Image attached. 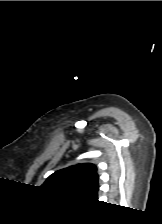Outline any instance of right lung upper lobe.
Masks as SVG:
<instances>
[{"instance_id":"1","label":"right lung upper lobe","mask_w":162,"mask_h":224,"mask_svg":"<svg viewBox=\"0 0 162 224\" xmlns=\"http://www.w3.org/2000/svg\"><path fill=\"white\" fill-rule=\"evenodd\" d=\"M98 178L95 165L78 164L54 172L42 187L85 200L96 201L99 188Z\"/></svg>"}]
</instances>
